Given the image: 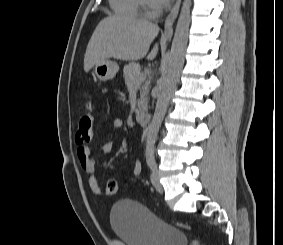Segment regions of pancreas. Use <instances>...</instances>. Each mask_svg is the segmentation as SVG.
<instances>
[{
  "label": "pancreas",
  "instance_id": "pancreas-1",
  "mask_svg": "<svg viewBox=\"0 0 283 245\" xmlns=\"http://www.w3.org/2000/svg\"><path fill=\"white\" fill-rule=\"evenodd\" d=\"M123 75L125 79V84L128 90H131L134 86H137L140 90V98L138 99V108L136 113L144 110L148 103V93H149V82L148 81H138L141 73V67L138 63L131 62L126 65L123 69Z\"/></svg>",
  "mask_w": 283,
  "mask_h": 245
}]
</instances>
